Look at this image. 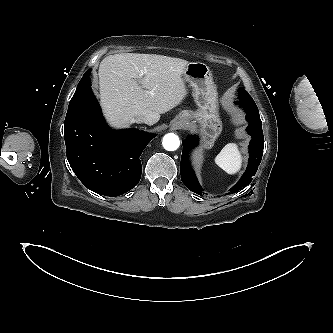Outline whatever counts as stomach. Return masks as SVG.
Instances as JSON below:
<instances>
[{"mask_svg": "<svg viewBox=\"0 0 333 333\" xmlns=\"http://www.w3.org/2000/svg\"><path fill=\"white\" fill-rule=\"evenodd\" d=\"M183 79L193 87V97L199 109L196 112L182 111L176 120L199 127L204 147L211 148L222 131L212 73L205 63L191 62L184 70Z\"/></svg>", "mask_w": 333, "mask_h": 333, "instance_id": "0dacf381", "label": "stomach"}]
</instances>
